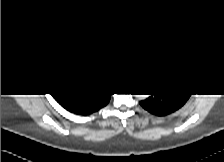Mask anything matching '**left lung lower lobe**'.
I'll return each instance as SVG.
<instances>
[{"mask_svg":"<svg viewBox=\"0 0 224 162\" xmlns=\"http://www.w3.org/2000/svg\"><path fill=\"white\" fill-rule=\"evenodd\" d=\"M191 93L179 87H166L159 94H152L147 100L141 101V106L152 114L164 116L182 107Z\"/></svg>","mask_w":224,"mask_h":162,"instance_id":"obj_1","label":"left lung lower lobe"}]
</instances>
